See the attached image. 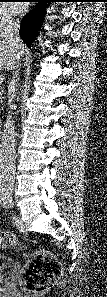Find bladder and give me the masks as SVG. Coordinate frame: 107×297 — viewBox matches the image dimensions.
<instances>
[{"instance_id": "31cf9c89", "label": "bladder", "mask_w": 107, "mask_h": 297, "mask_svg": "<svg viewBox=\"0 0 107 297\" xmlns=\"http://www.w3.org/2000/svg\"><path fill=\"white\" fill-rule=\"evenodd\" d=\"M3 277H4V275H3V273H2V271L0 269V281L3 279Z\"/></svg>"}]
</instances>
